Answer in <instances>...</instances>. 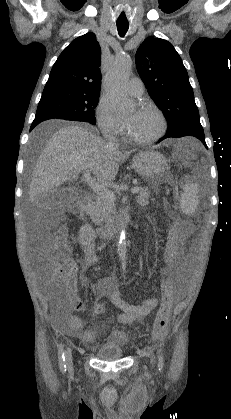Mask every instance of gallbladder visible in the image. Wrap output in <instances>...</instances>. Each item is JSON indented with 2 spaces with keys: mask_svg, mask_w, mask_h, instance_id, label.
<instances>
[{
  "mask_svg": "<svg viewBox=\"0 0 231 419\" xmlns=\"http://www.w3.org/2000/svg\"><path fill=\"white\" fill-rule=\"evenodd\" d=\"M66 192L61 188H56L47 193L43 198L41 204L47 207L50 211L56 208L60 202L64 200Z\"/></svg>",
  "mask_w": 231,
  "mask_h": 419,
  "instance_id": "1",
  "label": "gallbladder"
}]
</instances>
